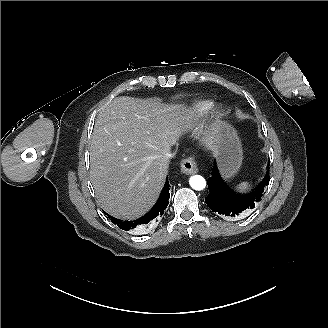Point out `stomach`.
<instances>
[{"mask_svg":"<svg viewBox=\"0 0 328 328\" xmlns=\"http://www.w3.org/2000/svg\"><path fill=\"white\" fill-rule=\"evenodd\" d=\"M211 148L217 156L222 175L232 177L243 160L242 147L235 130L225 122L216 123L211 129Z\"/></svg>","mask_w":328,"mask_h":328,"instance_id":"1","label":"stomach"}]
</instances>
